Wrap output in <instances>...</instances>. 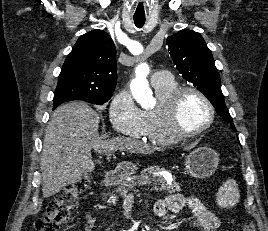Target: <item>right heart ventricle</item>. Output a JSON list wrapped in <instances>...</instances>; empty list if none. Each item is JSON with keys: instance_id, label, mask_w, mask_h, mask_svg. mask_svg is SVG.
I'll return each mask as SVG.
<instances>
[{"instance_id": "right-heart-ventricle-1", "label": "right heart ventricle", "mask_w": 268, "mask_h": 231, "mask_svg": "<svg viewBox=\"0 0 268 231\" xmlns=\"http://www.w3.org/2000/svg\"><path fill=\"white\" fill-rule=\"evenodd\" d=\"M152 87L157 104L153 108L141 110L144 125L143 139L154 144H173L178 139L172 136L167 129L165 108L169 97L179 88L178 83L173 79H168L154 84Z\"/></svg>"}]
</instances>
